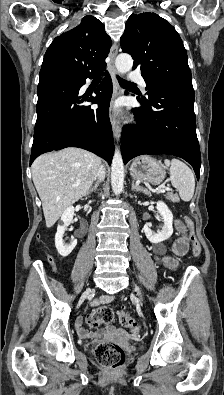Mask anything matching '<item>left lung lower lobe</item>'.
<instances>
[{
    "label": "left lung lower lobe",
    "mask_w": 224,
    "mask_h": 395,
    "mask_svg": "<svg viewBox=\"0 0 224 395\" xmlns=\"http://www.w3.org/2000/svg\"><path fill=\"white\" fill-rule=\"evenodd\" d=\"M137 100L143 106L134 109L138 124L122 131L124 163L142 154H172L191 164L199 179L201 155L194 90L159 87L148 99L137 97Z\"/></svg>",
    "instance_id": "left-lung-lower-lobe-1"
}]
</instances>
